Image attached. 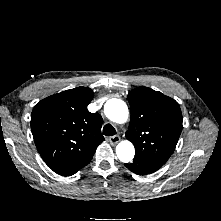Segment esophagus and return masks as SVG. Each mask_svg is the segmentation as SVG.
<instances>
[{
	"label": "esophagus",
	"instance_id": "esophagus-1",
	"mask_svg": "<svg viewBox=\"0 0 221 221\" xmlns=\"http://www.w3.org/2000/svg\"><path fill=\"white\" fill-rule=\"evenodd\" d=\"M120 136L115 135V136H111L108 141L110 142L111 145H116L119 141H120Z\"/></svg>",
	"mask_w": 221,
	"mask_h": 221
}]
</instances>
